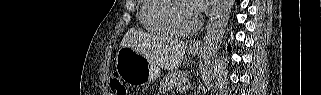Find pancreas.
I'll list each match as a JSON object with an SVG mask.
<instances>
[{
    "instance_id": "cf45deb5",
    "label": "pancreas",
    "mask_w": 321,
    "mask_h": 95,
    "mask_svg": "<svg viewBox=\"0 0 321 95\" xmlns=\"http://www.w3.org/2000/svg\"><path fill=\"white\" fill-rule=\"evenodd\" d=\"M186 79L184 72L172 71L160 81V91L165 92L176 88H184L185 86L183 87L182 84Z\"/></svg>"
}]
</instances>
